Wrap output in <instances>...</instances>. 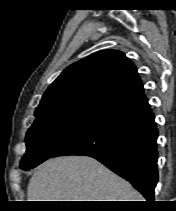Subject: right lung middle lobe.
Instances as JSON below:
<instances>
[{"mask_svg": "<svg viewBox=\"0 0 176 211\" xmlns=\"http://www.w3.org/2000/svg\"><path fill=\"white\" fill-rule=\"evenodd\" d=\"M100 121L65 112L36 115L26 135L27 151L21 159L20 168H34Z\"/></svg>", "mask_w": 176, "mask_h": 211, "instance_id": "obj_1", "label": "right lung middle lobe"}]
</instances>
